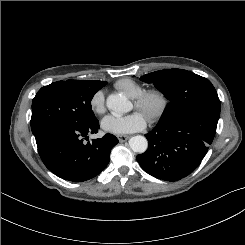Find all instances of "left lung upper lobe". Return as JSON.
Here are the masks:
<instances>
[{
  "mask_svg": "<svg viewBox=\"0 0 245 245\" xmlns=\"http://www.w3.org/2000/svg\"><path fill=\"white\" fill-rule=\"evenodd\" d=\"M153 83L169 100L157 125L177 121L196 111H212L220 114V100L212 83L193 72L183 69H165L140 77Z\"/></svg>",
  "mask_w": 245,
  "mask_h": 245,
  "instance_id": "1",
  "label": "left lung upper lobe"
}]
</instances>
